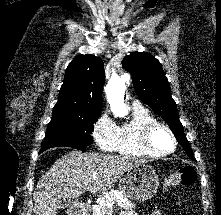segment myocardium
<instances>
[{"label": "myocardium", "instance_id": "1", "mask_svg": "<svg viewBox=\"0 0 221 215\" xmlns=\"http://www.w3.org/2000/svg\"><path fill=\"white\" fill-rule=\"evenodd\" d=\"M160 131H164L169 135L171 142H172L170 149L163 150V149L158 148L155 145L154 138H155L156 134ZM142 143H143V146L148 151H150L152 154H154L156 156L169 155V154L173 153L177 147V139H176L174 133L172 132V130L168 126H166L162 123H156V124H153V125H150L149 127H147L142 135Z\"/></svg>", "mask_w": 221, "mask_h": 215}]
</instances>
